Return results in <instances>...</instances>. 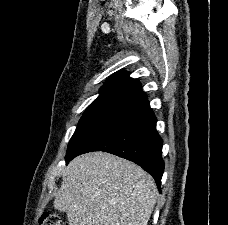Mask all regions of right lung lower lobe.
Returning a JSON list of instances; mask_svg holds the SVG:
<instances>
[{
	"label": "right lung lower lobe",
	"mask_w": 228,
	"mask_h": 225,
	"mask_svg": "<svg viewBox=\"0 0 228 225\" xmlns=\"http://www.w3.org/2000/svg\"><path fill=\"white\" fill-rule=\"evenodd\" d=\"M156 121L147 96L140 93L88 133L66 161L92 151L112 153L141 166L153 176L161 192L164 161Z\"/></svg>",
	"instance_id": "1"
}]
</instances>
